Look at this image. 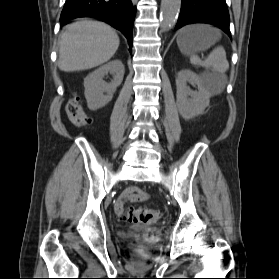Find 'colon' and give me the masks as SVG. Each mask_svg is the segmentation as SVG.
Returning a JSON list of instances; mask_svg holds the SVG:
<instances>
[{"label": "colon", "instance_id": "1", "mask_svg": "<svg viewBox=\"0 0 279 279\" xmlns=\"http://www.w3.org/2000/svg\"><path fill=\"white\" fill-rule=\"evenodd\" d=\"M66 113L71 123L77 127H84L91 122V119L84 111L78 96H72L68 100L66 104ZM122 217L125 221L134 224H151L159 219L160 214L157 210L149 208H129L123 211ZM129 244L131 252L142 253L138 238H130Z\"/></svg>", "mask_w": 279, "mask_h": 279}]
</instances>
